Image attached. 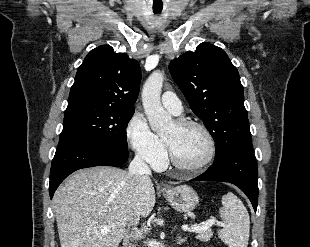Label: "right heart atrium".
I'll return each instance as SVG.
<instances>
[{"label":"right heart atrium","instance_id":"obj_1","mask_svg":"<svg viewBox=\"0 0 310 247\" xmlns=\"http://www.w3.org/2000/svg\"><path fill=\"white\" fill-rule=\"evenodd\" d=\"M125 136L130 148L139 158L154 168H161L165 164V145L162 139L152 132L143 115L132 116L127 124Z\"/></svg>","mask_w":310,"mask_h":247}]
</instances>
